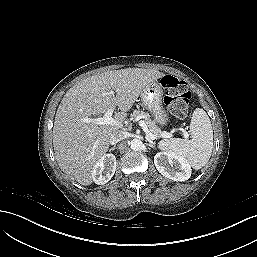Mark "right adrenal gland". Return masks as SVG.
Returning <instances> with one entry per match:
<instances>
[{
	"instance_id": "2a0ac1e0",
	"label": "right adrenal gland",
	"mask_w": 257,
	"mask_h": 257,
	"mask_svg": "<svg viewBox=\"0 0 257 257\" xmlns=\"http://www.w3.org/2000/svg\"><path fill=\"white\" fill-rule=\"evenodd\" d=\"M116 148V146L114 145L113 147H111L110 149H109V151L111 152L112 150H114Z\"/></svg>"
}]
</instances>
